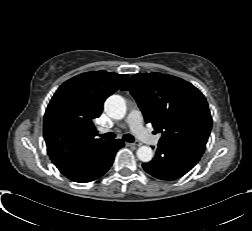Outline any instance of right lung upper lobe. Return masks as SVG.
<instances>
[{
  "label": "right lung upper lobe",
  "mask_w": 252,
  "mask_h": 231,
  "mask_svg": "<svg viewBox=\"0 0 252 231\" xmlns=\"http://www.w3.org/2000/svg\"><path fill=\"white\" fill-rule=\"evenodd\" d=\"M127 77L103 70L83 73L64 82L52 97L43 135L51 161L67 178L79 176L88 156L109 142L95 138L93 119Z\"/></svg>",
  "instance_id": "obj_1"
}]
</instances>
